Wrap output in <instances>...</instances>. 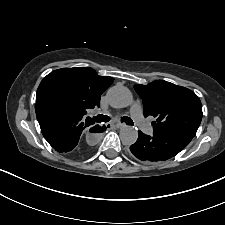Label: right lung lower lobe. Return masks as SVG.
<instances>
[{
	"label": "right lung lower lobe",
	"instance_id": "right-lung-lower-lobe-1",
	"mask_svg": "<svg viewBox=\"0 0 225 225\" xmlns=\"http://www.w3.org/2000/svg\"><path fill=\"white\" fill-rule=\"evenodd\" d=\"M35 111L41 132L47 142L59 153L80 157L87 153L80 137L86 131L102 132L105 126H93L89 117L73 114L44 104H36ZM90 136H93L90 135ZM92 141V138H90Z\"/></svg>",
	"mask_w": 225,
	"mask_h": 225
}]
</instances>
